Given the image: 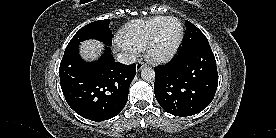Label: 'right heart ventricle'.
I'll use <instances>...</instances> for the list:
<instances>
[{
	"instance_id": "right-heart-ventricle-1",
	"label": "right heart ventricle",
	"mask_w": 276,
	"mask_h": 138,
	"mask_svg": "<svg viewBox=\"0 0 276 138\" xmlns=\"http://www.w3.org/2000/svg\"><path fill=\"white\" fill-rule=\"evenodd\" d=\"M165 18L166 16H155L127 24L120 31L118 42L136 51L144 49L157 25Z\"/></svg>"
}]
</instances>
